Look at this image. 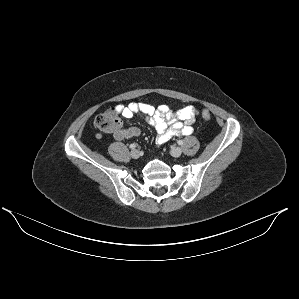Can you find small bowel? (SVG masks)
I'll return each mask as SVG.
<instances>
[{
  "instance_id": "1",
  "label": "small bowel",
  "mask_w": 299,
  "mask_h": 299,
  "mask_svg": "<svg viewBox=\"0 0 299 299\" xmlns=\"http://www.w3.org/2000/svg\"><path fill=\"white\" fill-rule=\"evenodd\" d=\"M115 109L125 118H132L135 114L143 115L156 130L158 146L165 144L175 136L190 135L196 117V110L192 106L172 112L167 105H160L156 108L150 104L132 102L127 105L118 104ZM140 134L138 127H129L120 129L113 136L116 140H125L138 137Z\"/></svg>"
}]
</instances>
